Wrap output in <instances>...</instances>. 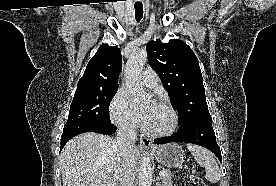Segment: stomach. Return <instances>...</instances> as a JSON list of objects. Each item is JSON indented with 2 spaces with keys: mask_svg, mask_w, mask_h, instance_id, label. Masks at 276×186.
Here are the masks:
<instances>
[{
  "mask_svg": "<svg viewBox=\"0 0 276 186\" xmlns=\"http://www.w3.org/2000/svg\"><path fill=\"white\" fill-rule=\"evenodd\" d=\"M155 159L167 168L180 167L185 158L184 150L177 143H168L152 151Z\"/></svg>",
  "mask_w": 276,
  "mask_h": 186,
  "instance_id": "stomach-1",
  "label": "stomach"
}]
</instances>
